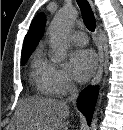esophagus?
I'll return each instance as SVG.
<instances>
[{"label": "esophagus", "instance_id": "esophagus-1", "mask_svg": "<svg viewBox=\"0 0 123 130\" xmlns=\"http://www.w3.org/2000/svg\"><path fill=\"white\" fill-rule=\"evenodd\" d=\"M91 3L92 1L89 0ZM98 40H99V46H98V60L99 64L97 67V71L91 81V85H96L100 82L103 74V67H104V49H103V43H102V37H101V30L100 25H98Z\"/></svg>", "mask_w": 123, "mask_h": 130}]
</instances>
